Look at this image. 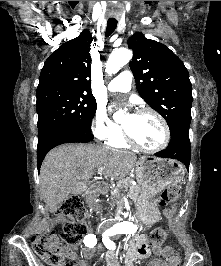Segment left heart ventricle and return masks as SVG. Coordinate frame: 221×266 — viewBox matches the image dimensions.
Wrapping results in <instances>:
<instances>
[{"instance_id":"obj_1","label":"left heart ventricle","mask_w":221,"mask_h":266,"mask_svg":"<svg viewBox=\"0 0 221 266\" xmlns=\"http://www.w3.org/2000/svg\"><path fill=\"white\" fill-rule=\"evenodd\" d=\"M122 126L145 147H155L163 139L162 126L152 114H127L122 121Z\"/></svg>"}]
</instances>
